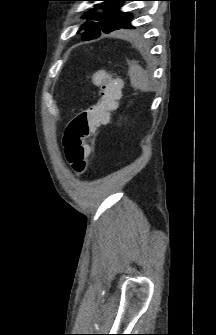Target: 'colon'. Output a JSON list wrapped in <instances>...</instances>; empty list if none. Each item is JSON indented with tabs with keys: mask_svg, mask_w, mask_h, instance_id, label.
Listing matches in <instances>:
<instances>
[{
	"mask_svg": "<svg viewBox=\"0 0 216 335\" xmlns=\"http://www.w3.org/2000/svg\"><path fill=\"white\" fill-rule=\"evenodd\" d=\"M93 79L101 87L98 102L77 113L62 136L66 160L79 173L84 172L90 162L91 149L86 139L109 122L111 113L118 107L123 87V80L111 77L106 70L97 71Z\"/></svg>",
	"mask_w": 216,
	"mask_h": 335,
	"instance_id": "5ec220e1",
	"label": "colon"
}]
</instances>
